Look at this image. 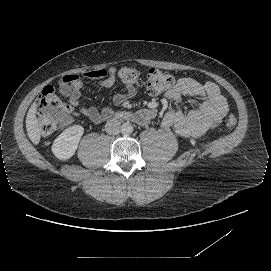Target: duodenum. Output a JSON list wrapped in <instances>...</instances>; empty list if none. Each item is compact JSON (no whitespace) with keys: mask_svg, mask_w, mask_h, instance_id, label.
I'll list each match as a JSON object with an SVG mask.
<instances>
[{"mask_svg":"<svg viewBox=\"0 0 271 271\" xmlns=\"http://www.w3.org/2000/svg\"><path fill=\"white\" fill-rule=\"evenodd\" d=\"M129 114H126V113H119L116 118L118 119H126V118H129Z\"/></svg>","mask_w":271,"mask_h":271,"instance_id":"1","label":"duodenum"}]
</instances>
